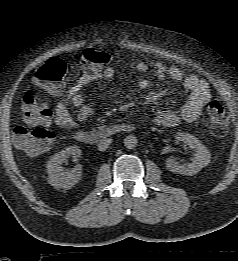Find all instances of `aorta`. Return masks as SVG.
Masks as SVG:
<instances>
[{"instance_id":"aorta-1","label":"aorta","mask_w":238,"mask_h":261,"mask_svg":"<svg viewBox=\"0 0 238 261\" xmlns=\"http://www.w3.org/2000/svg\"><path fill=\"white\" fill-rule=\"evenodd\" d=\"M138 140L134 135H128L124 139V146L127 149H134L137 146Z\"/></svg>"}]
</instances>
